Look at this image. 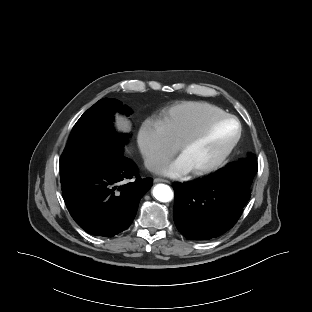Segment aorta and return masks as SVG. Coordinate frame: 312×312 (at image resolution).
Listing matches in <instances>:
<instances>
[{"label": "aorta", "mask_w": 312, "mask_h": 312, "mask_svg": "<svg viewBox=\"0 0 312 312\" xmlns=\"http://www.w3.org/2000/svg\"><path fill=\"white\" fill-rule=\"evenodd\" d=\"M153 196L160 202H169L173 199L172 189L165 184H157L153 189Z\"/></svg>", "instance_id": "aorta-1"}]
</instances>
